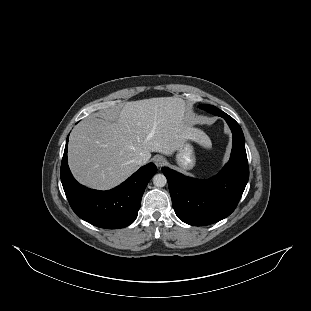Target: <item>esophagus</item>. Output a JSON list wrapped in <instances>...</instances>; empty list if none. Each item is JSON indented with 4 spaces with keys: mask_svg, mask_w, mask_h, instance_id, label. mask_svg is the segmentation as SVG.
<instances>
[{
    "mask_svg": "<svg viewBox=\"0 0 311 311\" xmlns=\"http://www.w3.org/2000/svg\"><path fill=\"white\" fill-rule=\"evenodd\" d=\"M153 163L157 166V167H161L163 165H165L167 163L166 158H164L161 155H156L153 157L152 159Z\"/></svg>",
    "mask_w": 311,
    "mask_h": 311,
    "instance_id": "34e87169",
    "label": "esophagus"
}]
</instances>
